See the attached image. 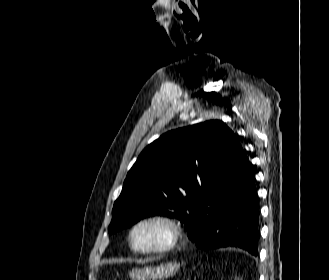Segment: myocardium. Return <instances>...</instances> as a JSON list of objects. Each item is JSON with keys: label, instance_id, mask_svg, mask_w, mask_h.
Here are the masks:
<instances>
[{"label": "myocardium", "instance_id": "f54148a6", "mask_svg": "<svg viewBox=\"0 0 329 280\" xmlns=\"http://www.w3.org/2000/svg\"><path fill=\"white\" fill-rule=\"evenodd\" d=\"M148 223H159L168 230L167 241L158 247L139 249L134 246L133 235L135 231L142 225ZM181 238V229L177 221L170 215L164 213H155L144 216L137 220L129 230L128 243L131 250L141 255H159L173 250L179 243Z\"/></svg>", "mask_w": 329, "mask_h": 280}]
</instances>
